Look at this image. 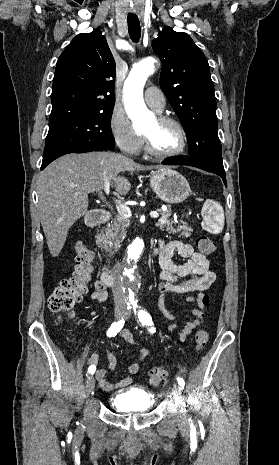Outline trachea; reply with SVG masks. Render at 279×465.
<instances>
[{"instance_id": "trachea-1", "label": "trachea", "mask_w": 279, "mask_h": 465, "mask_svg": "<svg viewBox=\"0 0 279 465\" xmlns=\"http://www.w3.org/2000/svg\"><path fill=\"white\" fill-rule=\"evenodd\" d=\"M128 31L133 42L137 43L141 37V27L136 15H128Z\"/></svg>"}]
</instances>
